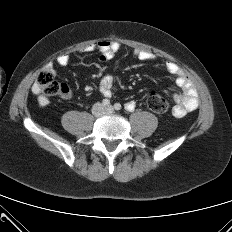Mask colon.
Here are the masks:
<instances>
[{
    "instance_id": "5ec220e1",
    "label": "colon",
    "mask_w": 232,
    "mask_h": 232,
    "mask_svg": "<svg viewBox=\"0 0 232 232\" xmlns=\"http://www.w3.org/2000/svg\"><path fill=\"white\" fill-rule=\"evenodd\" d=\"M35 85L44 96L60 95L65 91L63 85L54 79V74L50 69H45L39 73ZM147 106L157 114H166L169 111L168 101L154 92L147 97Z\"/></svg>"
}]
</instances>
